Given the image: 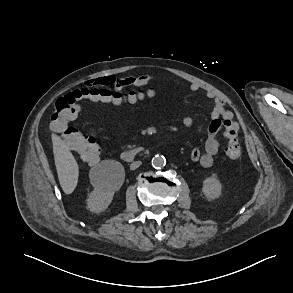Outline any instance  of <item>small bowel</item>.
Instances as JSON below:
<instances>
[{"label":"small bowel","instance_id":"1","mask_svg":"<svg viewBox=\"0 0 293 293\" xmlns=\"http://www.w3.org/2000/svg\"><path fill=\"white\" fill-rule=\"evenodd\" d=\"M152 80L153 77L151 75L128 77L102 76L87 80L86 85L95 86L104 84L111 87L113 92L119 95H122V91L128 87L146 88L145 91L138 93L130 92L126 95H122L119 98L106 102L108 104L120 106L123 104H136L143 100L153 98L156 95V90L150 86ZM200 89L201 87L197 83L190 84V90L192 92H197ZM205 95L212 101V121L208 126V134L204 150L201 151L198 148H194L190 153V158L193 162H198L203 167H210L213 164L214 158L219 150L217 134L225 121H233L234 113L225 108L223 99L215 92L208 90L206 91ZM182 122L183 125L187 128H191L194 124L192 116L188 113L183 116Z\"/></svg>","mask_w":293,"mask_h":293}]
</instances>
